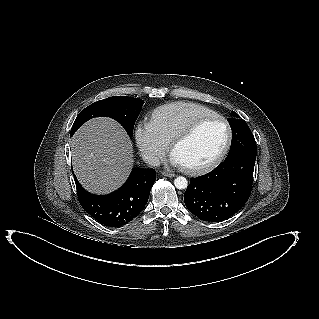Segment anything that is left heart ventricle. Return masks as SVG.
Segmentation results:
<instances>
[{"mask_svg":"<svg viewBox=\"0 0 319 319\" xmlns=\"http://www.w3.org/2000/svg\"><path fill=\"white\" fill-rule=\"evenodd\" d=\"M226 127L222 121L211 119L200 124L193 134L173 150L182 166H201L210 162L222 148Z\"/></svg>","mask_w":319,"mask_h":319,"instance_id":"1","label":"left heart ventricle"}]
</instances>
